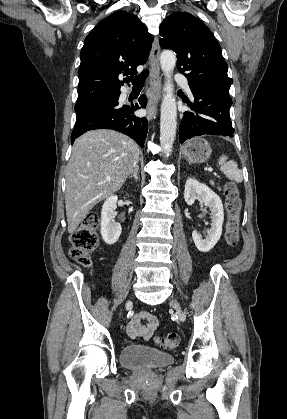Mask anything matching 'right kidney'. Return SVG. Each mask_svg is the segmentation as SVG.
I'll use <instances>...</instances> for the list:
<instances>
[{
    "instance_id": "ca27d5eb",
    "label": "right kidney",
    "mask_w": 287,
    "mask_h": 419,
    "mask_svg": "<svg viewBox=\"0 0 287 419\" xmlns=\"http://www.w3.org/2000/svg\"><path fill=\"white\" fill-rule=\"evenodd\" d=\"M118 197L110 196L106 199L101 211V236L108 245H113L120 237L122 227L114 220V210L117 208Z\"/></svg>"
}]
</instances>
